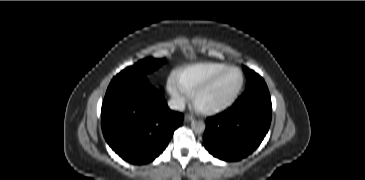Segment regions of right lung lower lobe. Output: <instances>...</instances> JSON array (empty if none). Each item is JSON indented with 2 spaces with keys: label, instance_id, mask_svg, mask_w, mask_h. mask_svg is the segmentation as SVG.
Masks as SVG:
<instances>
[{
  "label": "right lung lower lobe",
  "instance_id": "obj_1",
  "mask_svg": "<svg viewBox=\"0 0 365 180\" xmlns=\"http://www.w3.org/2000/svg\"><path fill=\"white\" fill-rule=\"evenodd\" d=\"M162 93L145 77L107 89L101 110L102 131L110 147L129 163L153 161L183 123V114L171 111Z\"/></svg>",
  "mask_w": 365,
  "mask_h": 180
}]
</instances>
